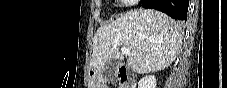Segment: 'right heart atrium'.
<instances>
[{
    "instance_id": "1",
    "label": "right heart atrium",
    "mask_w": 227,
    "mask_h": 88,
    "mask_svg": "<svg viewBox=\"0 0 227 88\" xmlns=\"http://www.w3.org/2000/svg\"><path fill=\"white\" fill-rule=\"evenodd\" d=\"M125 5H134L136 0H122Z\"/></svg>"
}]
</instances>
